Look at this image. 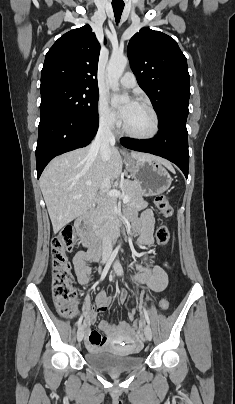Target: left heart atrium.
<instances>
[{"label": "left heart atrium", "instance_id": "obj_1", "mask_svg": "<svg viewBox=\"0 0 235 404\" xmlns=\"http://www.w3.org/2000/svg\"><path fill=\"white\" fill-rule=\"evenodd\" d=\"M135 104V102L131 101L130 103H128L125 107H123L120 110V116L122 119H125L126 116L128 115V112L130 110V108Z\"/></svg>", "mask_w": 235, "mask_h": 404}]
</instances>
